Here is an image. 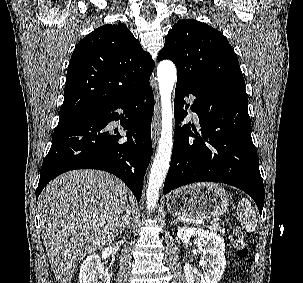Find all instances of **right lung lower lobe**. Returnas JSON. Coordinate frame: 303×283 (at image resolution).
<instances>
[{
  "label": "right lung lower lobe",
  "mask_w": 303,
  "mask_h": 283,
  "mask_svg": "<svg viewBox=\"0 0 303 283\" xmlns=\"http://www.w3.org/2000/svg\"><path fill=\"white\" fill-rule=\"evenodd\" d=\"M153 110V91L147 83L129 96L60 118L42 164L36 198L53 178L64 172L98 169L119 177L139 202L151 159ZM117 120L127 130V141H121L122 136L108 127Z\"/></svg>",
  "instance_id": "obj_1"
}]
</instances>
